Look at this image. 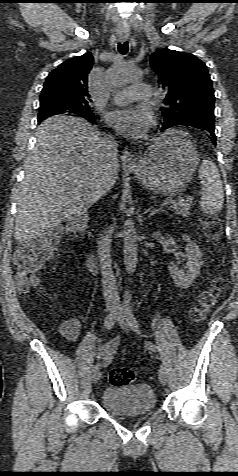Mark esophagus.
Returning a JSON list of instances; mask_svg holds the SVG:
<instances>
[{
    "label": "esophagus",
    "instance_id": "esophagus-1",
    "mask_svg": "<svg viewBox=\"0 0 238 476\" xmlns=\"http://www.w3.org/2000/svg\"><path fill=\"white\" fill-rule=\"evenodd\" d=\"M127 38H128V34L119 35V39L122 42L126 41ZM121 161L124 166L129 167V166L135 165V159L133 158V156L131 155V152L127 148H125L122 152Z\"/></svg>",
    "mask_w": 238,
    "mask_h": 476
}]
</instances>
